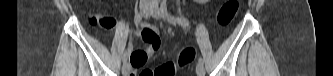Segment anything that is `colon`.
Listing matches in <instances>:
<instances>
[{
  "label": "colon",
  "instance_id": "1",
  "mask_svg": "<svg viewBox=\"0 0 333 76\" xmlns=\"http://www.w3.org/2000/svg\"><path fill=\"white\" fill-rule=\"evenodd\" d=\"M239 9V1L238 0H229L226 1L220 8L217 15V23L220 27L228 26L235 15L237 14ZM195 58V51L193 48L184 49L178 58L177 63L173 61H167L157 68L147 71L140 72L139 76H175L176 70L178 67H184L191 63Z\"/></svg>",
  "mask_w": 333,
  "mask_h": 76
}]
</instances>
